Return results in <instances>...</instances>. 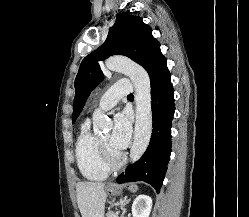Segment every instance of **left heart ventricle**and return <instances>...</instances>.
Here are the masks:
<instances>
[{
	"label": "left heart ventricle",
	"mask_w": 249,
	"mask_h": 217,
	"mask_svg": "<svg viewBox=\"0 0 249 217\" xmlns=\"http://www.w3.org/2000/svg\"><path fill=\"white\" fill-rule=\"evenodd\" d=\"M101 140H102L104 143L108 144L109 136H108V135H105V136H103V137L101 138ZM112 150H114V149H112ZM114 151H115V150H114Z\"/></svg>",
	"instance_id": "b2bd125f"
}]
</instances>
